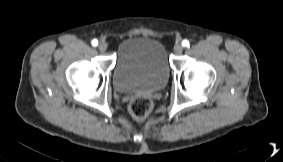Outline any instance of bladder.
Wrapping results in <instances>:
<instances>
[{"instance_id":"bladder-1","label":"bladder","mask_w":283,"mask_h":162,"mask_svg":"<svg viewBox=\"0 0 283 162\" xmlns=\"http://www.w3.org/2000/svg\"><path fill=\"white\" fill-rule=\"evenodd\" d=\"M170 69L166 49L160 41L133 36L118 46L112 83L121 93L156 91L168 82Z\"/></svg>"}]
</instances>
